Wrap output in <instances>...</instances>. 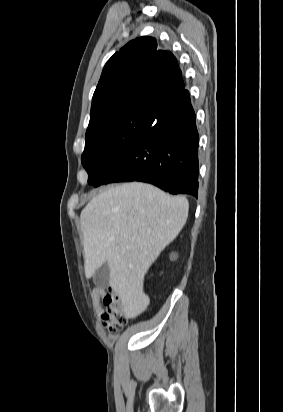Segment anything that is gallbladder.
I'll return each mask as SVG.
<instances>
[{"mask_svg": "<svg viewBox=\"0 0 283 412\" xmlns=\"http://www.w3.org/2000/svg\"><path fill=\"white\" fill-rule=\"evenodd\" d=\"M110 280V268L108 263H104L98 269L95 270L93 274L94 284L101 289L108 286Z\"/></svg>", "mask_w": 283, "mask_h": 412, "instance_id": "bac80fb5", "label": "gallbladder"}]
</instances>
